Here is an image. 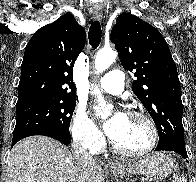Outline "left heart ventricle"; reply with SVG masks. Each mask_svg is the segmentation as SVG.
<instances>
[{
	"label": "left heart ventricle",
	"instance_id": "1",
	"mask_svg": "<svg viewBox=\"0 0 196 182\" xmlns=\"http://www.w3.org/2000/svg\"><path fill=\"white\" fill-rule=\"evenodd\" d=\"M113 140L124 149L139 151L149 144L150 132L143 120L126 116L124 126Z\"/></svg>",
	"mask_w": 196,
	"mask_h": 182
}]
</instances>
